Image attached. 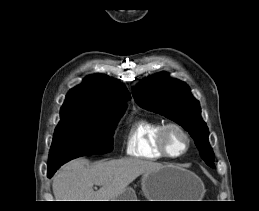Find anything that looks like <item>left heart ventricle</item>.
Listing matches in <instances>:
<instances>
[{
  "label": "left heart ventricle",
  "mask_w": 259,
  "mask_h": 211,
  "mask_svg": "<svg viewBox=\"0 0 259 211\" xmlns=\"http://www.w3.org/2000/svg\"><path fill=\"white\" fill-rule=\"evenodd\" d=\"M167 143L170 151L174 154L179 153L184 148V139L176 130H171L167 134Z\"/></svg>",
  "instance_id": "left-heart-ventricle-1"
}]
</instances>
